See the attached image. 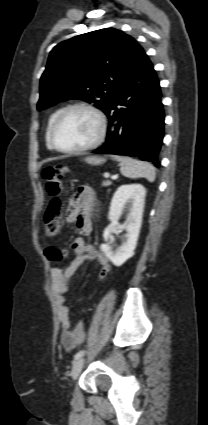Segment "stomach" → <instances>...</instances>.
<instances>
[{"label":"stomach","mask_w":208,"mask_h":425,"mask_svg":"<svg viewBox=\"0 0 208 425\" xmlns=\"http://www.w3.org/2000/svg\"><path fill=\"white\" fill-rule=\"evenodd\" d=\"M85 162L91 165H100L104 163V159L96 156H88L85 158Z\"/></svg>","instance_id":"0dacf381"}]
</instances>
